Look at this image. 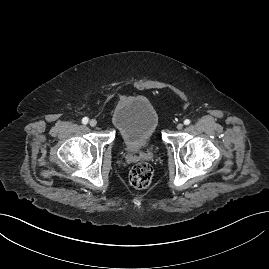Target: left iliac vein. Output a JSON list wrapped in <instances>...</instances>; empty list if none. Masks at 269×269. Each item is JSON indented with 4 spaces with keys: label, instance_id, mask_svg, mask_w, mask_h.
Masks as SVG:
<instances>
[{
    "label": "left iliac vein",
    "instance_id": "1",
    "mask_svg": "<svg viewBox=\"0 0 269 269\" xmlns=\"http://www.w3.org/2000/svg\"><path fill=\"white\" fill-rule=\"evenodd\" d=\"M176 127H177L178 130H182L184 126H183L182 123H179V124H177Z\"/></svg>",
    "mask_w": 269,
    "mask_h": 269
}]
</instances>
